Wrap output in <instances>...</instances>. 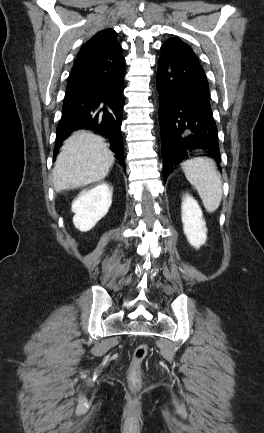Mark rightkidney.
<instances>
[{
    "label": "right kidney",
    "instance_id": "right-kidney-1",
    "mask_svg": "<svg viewBox=\"0 0 264 433\" xmlns=\"http://www.w3.org/2000/svg\"><path fill=\"white\" fill-rule=\"evenodd\" d=\"M112 204V190L107 183L84 189L72 202L75 227L86 232L91 230L108 212Z\"/></svg>",
    "mask_w": 264,
    "mask_h": 433
}]
</instances>
